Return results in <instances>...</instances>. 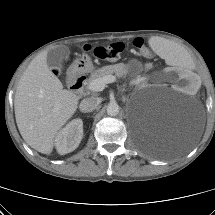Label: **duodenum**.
Returning <instances> with one entry per match:
<instances>
[{
    "label": "duodenum",
    "mask_w": 215,
    "mask_h": 215,
    "mask_svg": "<svg viewBox=\"0 0 215 215\" xmlns=\"http://www.w3.org/2000/svg\"><path fill=\"white\" fill-rule=\"evenodd\" d=\"M85 81V76L80 73L77 69L72 68L68 74V83L72 90L75 92H81L83 84Z\"/></svg>",
    "instance_id": "obj_1"
}]
</instances>
